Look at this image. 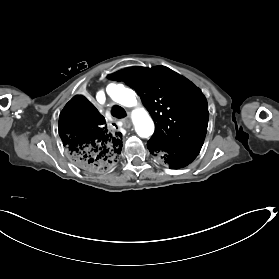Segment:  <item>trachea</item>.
<instances>
[{
  "mask_svg": "<svg viewBox=\"0 0 279 279\" xmlns=\"http://www.w3.org/2000/svg\"><path fill=\"white\" fill-rule=\"evenodd\" d=\"M112 115L117 118L125 117L126 111L122 107L115 105L112 108Z\"/></svg>",
  "mask_w": 279,
  "mask_h": 279,
  "instance_id": "obj_1",
  "label": "trachea"
}]
</instances>
